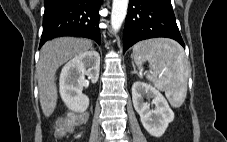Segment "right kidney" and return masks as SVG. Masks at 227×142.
<instances>
[{
    "label": "right kidney",
    "instance_id": "right-kidney-1",
    "mask_svg": "<svg viewBox=\"0 0 227 142\" xmlns=\"http://www.w3.org/2000/svg\"><path fill=\"white\" fill-rule=\"evenodd\" d=\"M100 55L91 50L75 56L63 68L60 74V95L67 107L75 112H85L89 98L82 93L86 84L85 76L96 83L99 78Z\"/></svg>",
    "mask_w": 227,
    "mask_h": 142
}]
</instances>
